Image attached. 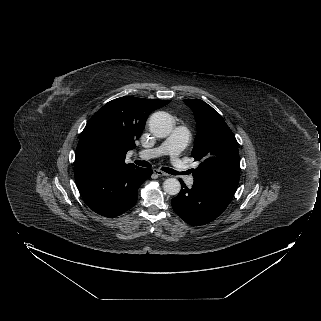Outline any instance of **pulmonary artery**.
<instances>
[{
    "label": "pulmonary artery",
    "instance_id": "e3ab8cb5",
    "mask_svg": "<svg viewBox=\"0 0 321 321\" xmlns=\"http://www.w3.org/2000/svg\"><path fill=\"white\" fill-rule=\"evenodd\" d=\"M189 139V130L184 126L176 127L171 135L165 139L161 145L151 149H145L139 152V156L143 159H151L162 155H170V163L177 172L185 169V163L180 158V154L186 147ZM188 185L193 184V179L186 180Z\"/></svg>",
    "mask_w": 321,
    "mask_h": 321
}]
</instances>
